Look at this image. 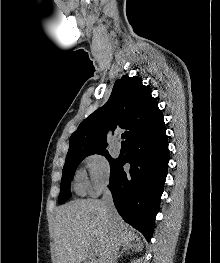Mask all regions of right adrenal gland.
Instances as JSON below:
<instances>
[{"label": "right adrenal gland", "mask_w": 220, "mask_h": 263, "mask_svg": "<svg viewBox=\"0 0 220 263\" xmlns=\"http://www.w3.org/2000/svg\"><path fill=\"white\" fill-rule=\"evenodd\" d=\"M136 246H137L136 244L125 245L117 257L122 256V254H124V252H129L130 249L135 248Z\"/></svg>", "instance_id": "right-adrenal-gland-1"}]
</instances>
